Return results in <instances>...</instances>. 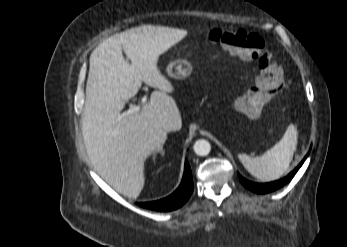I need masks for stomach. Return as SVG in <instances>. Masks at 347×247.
Returning <instances> with one entry per match:
<instances>
[{"mask_svg":"<svg viewBox=\"0 0 347 247\" xmlns=\"http://www.w3.org/2000/svg\"><path fill=\"white\" fill-rule=\"evenodd\" d=\"M166 72L172 78L183 79L192 73V65L185 60H178L168 66Z\"/></svg>","mask_w":347,"mask_h":247,"instance_id":"obj_1","label":"stomach"}]
</instances>
